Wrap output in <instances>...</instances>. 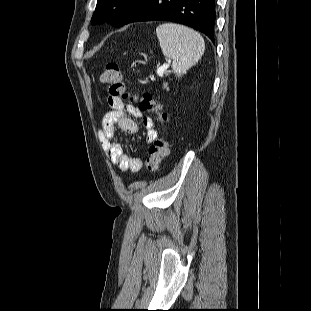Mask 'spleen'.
Segmentation results:
<instances>
[{"mask_svg":"<svg viewBox=\"0 0 311 311\" xmlns=\"http://www.w3.org/2000/svg\"><path fill=\"white\" fill-rule=\"evenodd\" d=\"M156 34L163 54L172 61L178 77L195 65L205 51L201 35L183 25L164 23L156 28Z\"/></svg>","mask_w":311,"mask_h":311,"instance_id":"1","label":"spleen"}]
</instances>
